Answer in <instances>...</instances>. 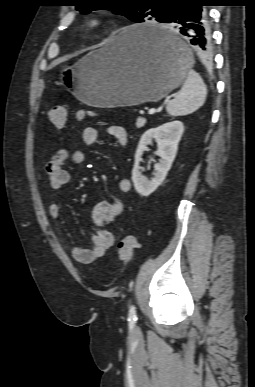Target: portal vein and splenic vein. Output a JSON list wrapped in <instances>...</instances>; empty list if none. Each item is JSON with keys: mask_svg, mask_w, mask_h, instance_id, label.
<instances>
[{"mask_svg": "<svg viewBox=\"0 0 255 387\" xmlns=\"http://www.w3.org/2000/svg\"><path fill=\"white\" fill-rule=\"evenodd\" d=\"M155 112H156V109H155V108H150V109L148 110V113H149V114H154ZM141 122H142V119L139 118L138 121H137V124L139 125V124H141Z\"/></svg>", "mask_w": 255, "mask_h": 387, "instance_id": "18ae733b", "label": "portal vein and splenic vein"}]
</instances>
